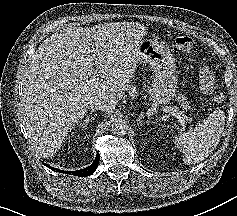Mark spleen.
Masks as SVG:
<instances>
[{
    "label": "spleen",
    "instance_id": "1",
    "mask_svg": "<svg viewBox=\"0 0 237 216\" xmlns=\"http://www.w3.org/2000/svg\"><path fill=\"white\" fill-rule=\"evenodd\" d=\"M217 129L210 127L208 121L190 128L187 132L175 137L177 147H183V151L193 160L199 159L209 148L218 142Z\"/></svg>",
    "mask_w": 237,
    "mask_h": 216
}]
</instances>
